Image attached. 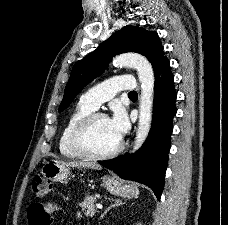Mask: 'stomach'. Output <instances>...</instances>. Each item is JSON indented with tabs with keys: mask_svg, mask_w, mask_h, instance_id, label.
<instances>
[{
	"mask_svg": "<svg viewBox=\"0 0 228 225\" xmlns=\"http://www.w3.org/2000/svg\"><path fill=\"white\" fill-rule=\"evenodd\" d=\"M41 173L43 177L53 181V183H64L67 181L71 169L66 163L62 161H45ZM103 187L108 193L115 195V197H124V199H133L138 193L135 185H124L117 177H104Z\"/></svg>",
	"mask_w": 228,
	"mask_h": 225,
	"instance_id": "0dacf381",
	"label": "stomach"
}]
</instances>
